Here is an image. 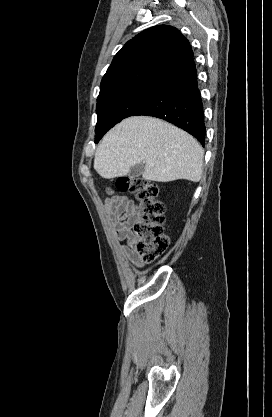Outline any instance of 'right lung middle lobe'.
Wrapping results in <instances>:
<instances>
[{
    "instance_id": "obj_1",
    "label": "right lung middle lobe",
    "mask_w": 272,
    "mask_h": 417,
    "mask_svg": "<svg viewBox=\"0 0 272 417\" xmlns=\"http://www.w3.org/2000/svg\"><path fill=\"white\" fill-rule=\"evenodd\" d=\"M161 86H139L117 91L101 100H97L96 139L103 135L122 119L133 116L160 89Z\"/></svg>"
}]
</instances>
